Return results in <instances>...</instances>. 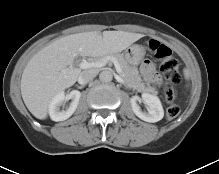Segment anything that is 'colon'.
<instances>
[{"label": "colon", "mask_w": 219, "mask_h": 174, "mask_svg": "<svg viewBox=\"0 0 219 174\" xmlns=\"http://www.w3.org/2000/svg\"><path fill=\"white\" fill-rule=\"evenodd\" d=\"M146 48L160 62V71L164 78V94L168 106L165 115L168 119L176 118L180 113L179 106L174 102L176 86L181 83L180 63L172 50L157 40H150Z\"/></svg>", "instance_id": "1"}]
</instances>
